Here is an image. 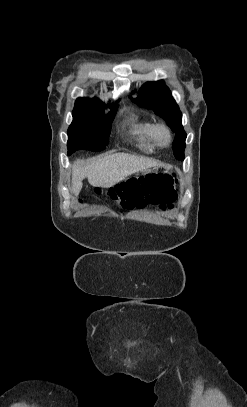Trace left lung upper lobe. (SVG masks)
I'll return each mask as SVG.
<instances>
[{
  "label": "left lung upper lobe",
  "instance_id": "left-lung-upper-lobe-1",
  "mask_svg": "<svg viewBox=\"0 0 247 407\" xmlns=\"http://www.w3.org/2000/svg\"><path fill=\"white\" fill-rule=\"evenodd\" d=\"M133 101L152 109L166 121L171 130L176 133L173 154L178 160L183 161L186 133L182 126V114L164 81L145 83L139 90V97Z\"/></svg>",
  "mask_w": 247,
  "mask_h": 407
}]
</instances>
